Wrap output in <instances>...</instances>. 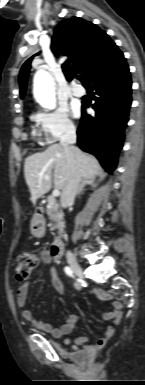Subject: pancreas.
<instances>
[{"label":"pancreas","mask_w":145,"mask_h":385,"mask_svg":"<svg viewBox=\"0 0 145 385\" xmlns=\"http://www.w3.org/2000/svg\"><path fill=\"white\" fill-rule=\"evenodd\" d=\"M47 215L49 219L54 223L53 228H60L62 226V215L58 210V204L54 198L48 199Z\"/></svg>","instance_id":"pancreas-1"}]
</instances>
